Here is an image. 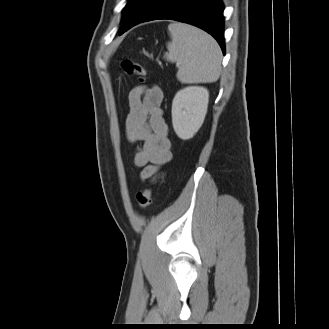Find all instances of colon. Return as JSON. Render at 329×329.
I'll return each mask as SVG.
<instances>
[{
    "instance_id": "colon-1",
    "label": "colon",
    "mask_w": 329,
    "mask_h": 329,
    "mask_svg": "<svg viewBox=\"0 0 329 329\" xmlns=\"http://www.w3.org/2000/svg\"><path fill=\"white\" fill-rule=\"evenodd\" d=\"M121 67L126 74L137 76L140 81H144L147 77L146 69L141 64L130 59H124L121 62ZM152 194L153 190L151 188H146L136 194V200L141 209L150 206L152 202Z\"/></svg>"
}]
</instances>
